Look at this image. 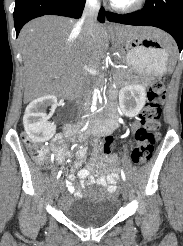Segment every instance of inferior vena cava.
I'll list each match as a JSON object with an SVG mask.
<instances>
[{
  "label": "inferior vena cava",
  "mask_w": 183,
  "mask_h": 246,
  "mask_svg": "<svg viewBox=\"0 0 183 246\" xmlns=\"http://www.w3.org/2000/svg\"><path fill=\"white\" fill-rule=\"evenodd\" d=\"M99 2L98 0H86L85 8L81 19L77 22V26L81 27L85 36H90L97 24V16L99 12ZM84 72H86V66H83ZM85 83V81H83ZM83 100L85 95L83 94Z\"/></svg>",
  "instance_id": "inferior-vena-cava-1"
}]
</instances>
